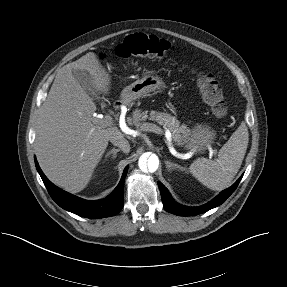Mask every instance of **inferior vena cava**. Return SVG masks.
<instances>
[{
  "instance_id": "1",
  "label": "inferior vena cava",
  "mask_w": 287,
  "mask_h": 287,
  "mask_svg": "<svg viewBox=\"0 0 287 287\" xmlns=\"http://www.w3.org/2000/svg\"><path fill=\"white\" fill-rule=\"evenodd\" d=\"M110 142L114 146L119 147L124 153H129L130 152V144L125 138L118 137V136H113V137H111Z\"/></svg>"
}]
</instances>
